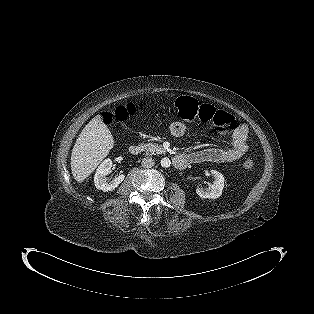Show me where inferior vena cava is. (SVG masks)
<instances>
[{"mask_svg":"<svg viewBox=\"0 0 314 314\" xmlns=\"http://www.w3.org/2000/svg\"><path fill=\"white\" fill-rule=\"evenodd\" d=\"M155 164L154 159L151 157H145L142 159V166L144 168H151Z\"/></svg>","mask_w":314,"mask_h":314,"instance_id":"inferior-vena-cava-1","label":"inferior vena cava"}]
</instances>
